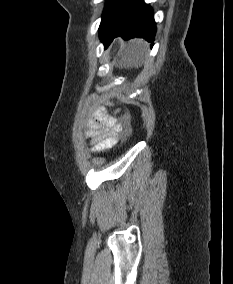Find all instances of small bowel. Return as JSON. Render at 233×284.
<instances>
[{
	"label": "small bowel",
	"mask_w": 233,
	"mask_h": 284,
	"mask_svg": "<svg viewBox=\"0 0 233 284\" xmlns=\"http://www.w3.org/2000/svg\"><path fill=\"white\" fill-rule=\"evenodd\" d=\"M129 127L128 116L124 115L119 119L107 116L99 121H90L86 135L91 140L93 151L99 152L115 145L119 136L129 131Z\"/></svg>",
	"instance_id": "1"
}]
</instances>
